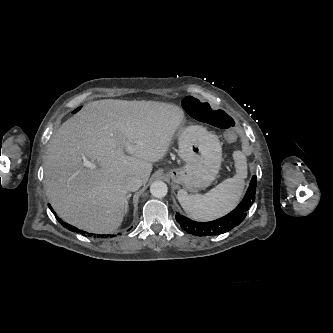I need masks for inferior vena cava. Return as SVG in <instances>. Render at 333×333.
<instances>
[{"label":"inferior vena cava","instance_id":"inferior-vena-cava-1","mask_svg":"<svg viewBox=\"0 0 333 333\" xmlns=\"http://www.w3.org/2000/svg\"><path fill=\"white\" fill-rule=\"evenodd\" d=\"M142 186V180L138 177H128L125 181V187L128 191H136Z\"/></svg>","mask_w":333,"mask_h":333}]
</instances>
